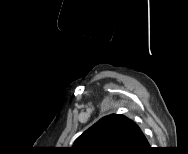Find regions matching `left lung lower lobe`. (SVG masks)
Masks as SVG:
<instances>
[{
	"label": "left lung lower lobe",
	"instance_id": "0a47b994",
	"mask_svg": "<svg viewBox=\"0 0 188 154\" xmlns=\"http://www.w3.org/2000/svg\"><path fill=\"white\" fill-rule=\"evenodd\" d=\"M146 147H148V141L141 129L138 127V125H136L130 152H135Z\"/></svg>",
	"mask_w": 188,
	"mask_h": 154
}]
</instances>
